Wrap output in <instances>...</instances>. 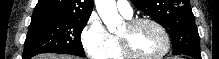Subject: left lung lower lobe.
Segmentation results:
<instances>
[{"instance_id":"obj_1","label":"left lung lower lobe","mask_w":219,"mask_h":59,"mask_svg":"<svg viewBox=\"0 0 219 59\" xmlns=\"http://www.w3.org/2000/svg\"><path fill=\"white\" fill-rule=\"evenodd\" d=\"M184 55H189L195 59H201V55L200 53H193V52H188V53H185Z\"/></svg>"}]
</instances>
